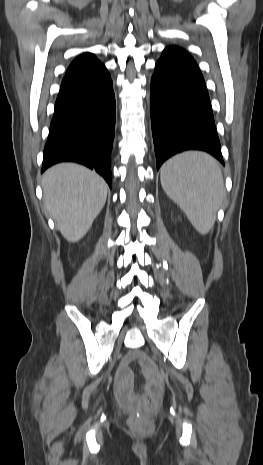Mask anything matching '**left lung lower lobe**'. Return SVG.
Segmentation results:
<instances>
[{
	"label": "left lung lower lobe",
	"instance_id": "0a47b994",
	"mask_svg": "<svg viewBox=\"0 0 263 465\" xmlns=\"http://www.w3.org/2000/svg\"><path fill=\"white\" fill-rule=\"evenodd\" d=\"M150 114L157 169L190 149L206 151L224 165L203 76L195 60L179 47H167L156 63Z\"/></svg>",
	"mask_w": 263,
	"mask_h": 465
}]
</instances>
